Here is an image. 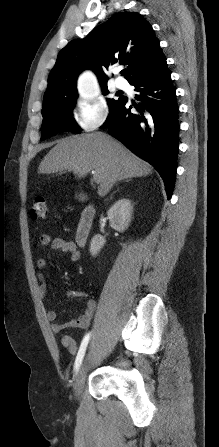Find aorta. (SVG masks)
Listing matches in <instances>:
<instances>
[{"label":"aorta","mask_w":219,"mask_h":447,"mask_svg":"<svg viewBox=\"0 0 219 447\" xmlns=\"http://www.w3.org/2000/svg\"><path fill=\"white\" fill-rule=\"evenodd\" d=\"M78 89L83 100L93 101L98 96L94 78L90 72H85L80 76Z\"/></svg>","instance_id":"obj_1"}]
</instances>
